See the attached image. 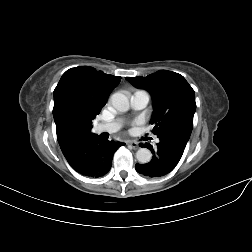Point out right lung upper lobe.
Wrapping results in <instances>:
<instances>
[{"label": "right lung upper lobe", "instance_id": "right-lung-upper-lobe-1", "mask_svg": "<svg viewBox=\"0 0 252 252\" xmlns=\"http://www.w3.org/2000/svg\"><path fill=\"white\" fill-rule=\"evenodd\" d=\"M120 79L89 66L71 68L62 75L54 90L53 108L62 153L82 138L95 135L91 133L92 120Z\"/></svg>", "mask_w": 252, "mask_h": 252}]
</instances>
